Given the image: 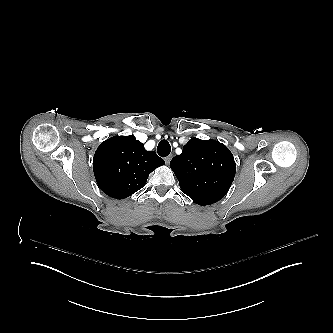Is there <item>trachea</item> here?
<instances>
[{
    "label": "trachea",
    "instance_id": "1",
    "mask_svg": "<svg viewBox=\"0 0 333 333\" xmlns=\"http://www.w3.org/2000/svg\"><path fill=\"white\" fill-rule=\"evenodd\" d=\"M157 152L161 157H166L171 152V146L168 141L162 140L157 147Z\"/></svg>",
    "mask_w": 333,
    "mask_h": 333
}]
</instances>
